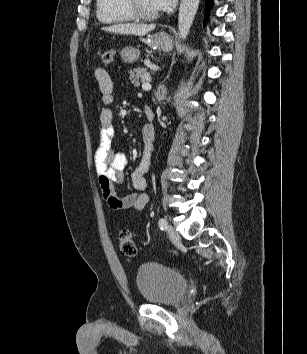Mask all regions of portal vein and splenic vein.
<instances>
[{"label": "portal vein and splenic vein", "mask_w": 307, "mask_h": 354, "mask_svg": "<svg viewBox=\"0 0 307 354\" xmlns=\"http://www.w3.org/2000/svg\"><path fill=\"white\" fill-rule=\"evenodd\" d=\"M149 81H150V80H149ZM142 89L145 90V91L150 90V89H151L150 83H149V82H144V83L142 84Z\"/></svg>", "instance_id": "1"}]
</instances>
